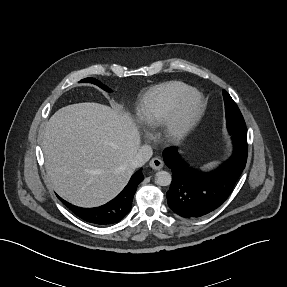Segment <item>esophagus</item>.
I'll return each mask as SVG.
<instances>
[{"instance_id":"34e87169","label":"esophagus","mask_w":287,"mask_h":287,"mask_svg":"<svg viewBox=\"0 0 287 287\" xmlns=\"http://www.w3.org/2000/svg\"><path fill=\"white\" fill-rule=\"evenodd\" d=\"M149 166L154 170H159L163 167V161L159 157H154L149 162Z\"/></svg>"}]
</instances>
